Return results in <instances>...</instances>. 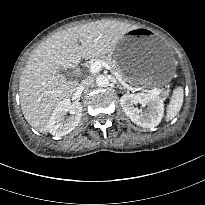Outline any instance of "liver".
I'll use <instances>...</instances> for the list:
<instances>
[{
	"label": "liver",
	"mask_w": 205,
	"mask_h": 205,
	"mask_svg": "<svg viewBox=\"0 0 205 205\" xmlns=\"http://www.w3.org/2000/svg\"><path fill=\"white\" fill-rule=\"evenodd\" d=\"M134 28L123 22L101 20L62 30L40 44L27 61L19 82L21 108L27 122L47 133L51 113L72 97L79 85L77 81H67L60 70L76 67L81 59L111 53Z\"/></svg>",
	"instance_id": "1"
}]
</instances>
